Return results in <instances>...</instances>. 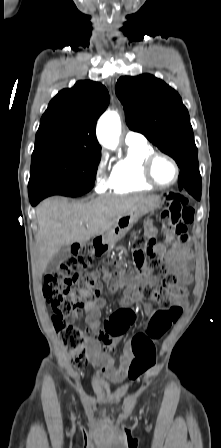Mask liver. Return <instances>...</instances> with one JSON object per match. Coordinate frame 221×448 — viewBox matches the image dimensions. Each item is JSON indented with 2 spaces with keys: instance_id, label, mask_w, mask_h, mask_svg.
Instances as JSON below:
<instances>
[{
  "instance_id": "liver-1",
  "label": "liver",
  "mask_w": 221,
  "mask_h": 448,
  "mask_svg": "<svg viewBox=\"0 0 221 448\" xmlns=\"http://www.w3.org/2000/svg\"><path fill=\"white\" fill-rule=\"evenodd\" d=\"M154 196L104 195L85 203H69L54 197L36 208L39 231L36 236L42 273L64 245L86 243L110 230L119 218Z\"/></svg>"
}]
</instances>
